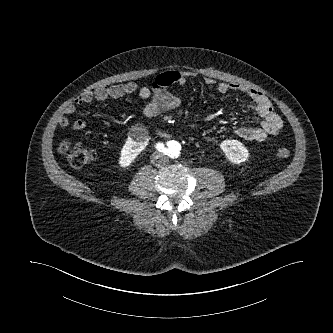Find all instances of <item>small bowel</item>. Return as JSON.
I'll list each match as a JSON object with an SVG mask.
<instances>
[{"instance_id":"small-bowel-1","label":"small bowel","mask_w":333,"mask_h":333,"mask_svg":"<svg viewBox=\"0 0 333 333\" xmlns=\"http://www.w3.org/2000/svg\"><path fill=\"white\" fill-rule=\"evenodd\" d=\"M195 76L189 71H166L159 74L151 87L141 86L135 82L117 84L109 87H99L94 91H88L79 95L70 104L59 118V125L67 127L70 124V116L77 107L96 101H106L108 99H119L128 95H137L141 99H149L143 108V116L152 118L165 112L174 110L180 106V99L171 93L168 88L172 85L184 86L189 78ZM204 83L208 86H215L219 93L225 94L230 91L245 93L252 100L251 108L257 113L261 122L259 126H241L237 129V135L248 141L261 142L268 136L277 135L283 127L282 118L274 111L269 99L258 90L246 88L233 82H216L212 78H205ZM86 127V121L77 119L72 123L74 130L80 131Z\"/></svg>"}]
</instances>
